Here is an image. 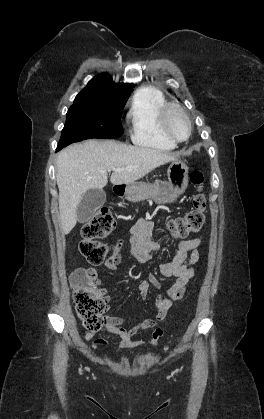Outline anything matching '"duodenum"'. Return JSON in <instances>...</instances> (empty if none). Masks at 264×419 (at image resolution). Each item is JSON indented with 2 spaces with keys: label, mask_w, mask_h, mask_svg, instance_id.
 Wrapping results in <instances>:
<instances>
[{
  "label": "duodenum",
  "mask_w": 264,
  "mask_h": 419,
  "mask_svg": "<svg viewBox=\"0 0 264 419\" xmlns=\"http://www.w3.org/2000/svg\"><path fill=\"white\" fill-rule=\"evenodd\" d=\"M124 188L120 189L119 194L121 195L123 193Z\"/></svg>",
  "instance_id": "1"
}]
</instances>
